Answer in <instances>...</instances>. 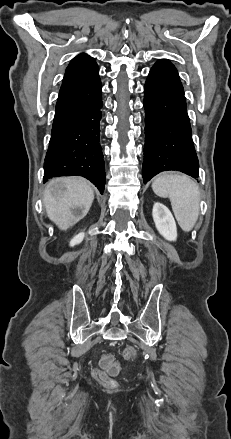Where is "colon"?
<instances>
[{
	"mask_svg": "<svg viewBox=\"0 0 231 439\" xmlns=\"http://www.w3.org/2000/svg\"><path fill=\"white\" fill-rule=\"evenodd\" d=\"M135 356V349L126 347L122 350V357L131 360ZM118 372V365L112 357L105 355L100 360V366L92 371L93 377L104 385H113L112 377Z\"/></svg>",
	"mask_w": 231,
	"mask_h": 439,
	"instance_id": "colon-1",
	"label": "colon"
}]
</instances>
